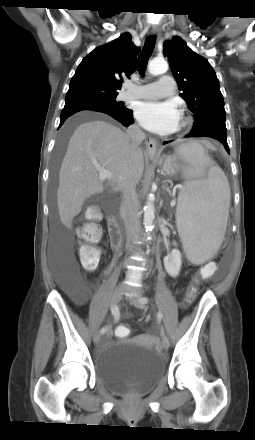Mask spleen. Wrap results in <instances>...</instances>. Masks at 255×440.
<instances>
[{
    "mask_svg": "<svg viewBox=\"0 0 255 440\" xmlns=\"http://www.w3.org/2000/svg\"><path fill=\"white\" fill-rule=\"evenodd\" d=\"M178 153L189 167L184 170L187 181L178 198L177 229L188 259L201 264L218 251L223 241L230 187L222 169L215 165L201 145L181 146ZM207 167L208 175L203 178Z\"/></svg>",
    "mask_w": 255,
    "mask_h": 440,
    "instance_id": "3e777b00",
    "label": "spleen"
}]
</instances>
